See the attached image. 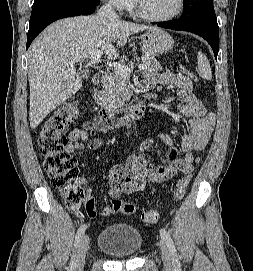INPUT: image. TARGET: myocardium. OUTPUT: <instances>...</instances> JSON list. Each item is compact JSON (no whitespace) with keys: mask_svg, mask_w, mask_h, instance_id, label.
Here are the masks:
<instances>
[{"mask_svg":"<svg viewBox=\"0 0 253 271\" xmlns=\"http://www.w3.org/2000/svg\"><path fill=\"white\" fill-rule=\"evenodd\" d=\"M132 1H133L136 14L139 17L151 22H168V21L174 20L183 12L184 7H185V0H178L177 8L171 14L166 15V16H153V15L148 14L144 10L141 0H132Z\"/></svg>","mask_w":253,"mask_h":271,"instance_id":"f54148a6","label":"myocardium"}]
</instances>
